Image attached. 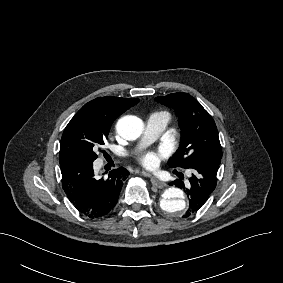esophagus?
Here are the masks:
<instances>
[{"instance_id":"esophagus-1","label":"esophagus","mask_w":283,"mask_h":283,"mask_svg":"<svg viewBox=\"0 0 283 283\" xmlns=\"http://www.w3.org/2000/svg\"><path fill=\"white\" fill-rule=\"evenodd\" d=\"M143 175H144V176H150V175H149L148 173H146V172H143ZM150 179H151V183H152L154 186L158 187V188H163V187H166V186H167V184H166L165 182L160 181V180H158L157 178H155V177H153V176H151Z\"/></svg>"}]
</instances>
